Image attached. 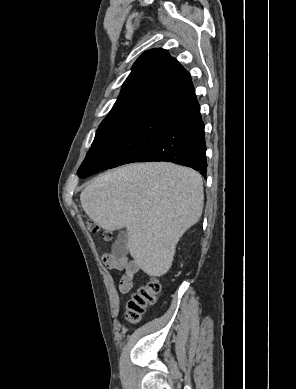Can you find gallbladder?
I'll use <instances>...</instances> for the list:
<instances>
[{"mask_svg": "<svg viewBox=\"0 0 296 389\" xmlns=\"http://www.w3.org/2000/svg\"><path fill=\"white\" fill-rule=\"evenodd\" d=\"M128 236L125 230H120L113 245V252L117 257H123L128 251Z\"/></svg>", "mask_w": 296, "mask_h": 389, "instance_id": "gallbladder-1", "label": "gallbladder"}]
</instances>
